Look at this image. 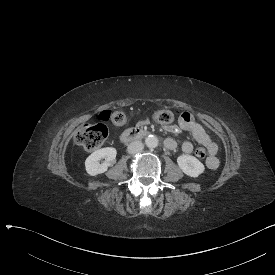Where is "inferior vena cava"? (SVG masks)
<instances>
[{
  "label": "inferior vena cava",
  "mask_w": 275,
  "mask_h": 275,
  "mask_svg": "<svg viewBox=\"0 0 275 275\" xmlns=\"http://www.w3.org/2000/svg\"><path fill=\"white\" fill-rule=\"evenodd\" d=\"M143 148H144V146L141 141H133L128 145L127 151L130 154H134L137 152H141L143 150Z\"/></svg>",
  "instance_id": "602c4592"
}]
</instances>
